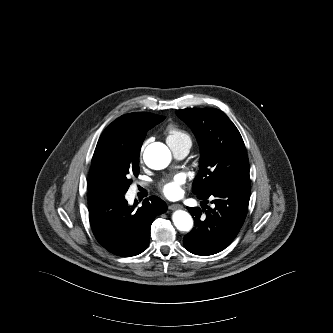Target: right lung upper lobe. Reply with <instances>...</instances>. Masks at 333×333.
<instances>
[{"mask_svg": "<svg viewBox=\"0 0 333 333\" xmlns=\"http://www.w3.org/2000/svg\"><path fill=\"white\" fill-rule=\"evenodd\" d=\"M165 117L152 113L136 112L123 115L113 121L101 135L91 162L90 196L109 195L100 154L110 144H126L145 138L147 131L164 120Z\"/></svg>", "mask_w": 333, "mask_h": 333, "instance_id": "obj_1", "label": "right lung upper lobe"}]
</instances>
